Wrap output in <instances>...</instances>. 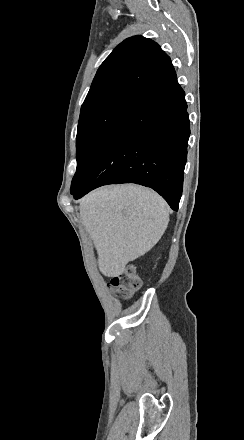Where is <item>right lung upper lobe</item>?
Wrapping results in <instances>:
<instances>
[{
	"instance_id": "right-lung-upper-lobe-1",
	"label": "right lung upper lobe",
	"mask_w": 244,
	"mask_h": 440,
	"mask_svg": "<svg viewBox=\"0 0 244 440\" xmlns=\"http://www.w3.org/2000/svg\"><path fill=\"white\" fill-rule=\"evenodd\" d=\"M173 75L170 58L156 42L133 36L119 44L102 63L83 104L118 95L141 98Z\"/></svg>"
}]
</instances>
